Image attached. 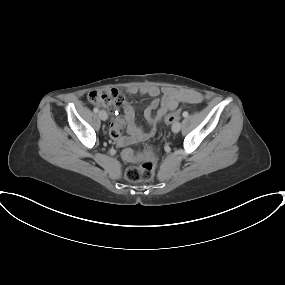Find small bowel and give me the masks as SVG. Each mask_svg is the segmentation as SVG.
Returning <instances> with one entry per match:
<instances>
[{
	"mask_svg": "<svg viewBox=\"0 0 285 285\" xmlns=\"http://www.w3.org/2000/svg\"><path fill=\"white\" fill-rule=\"evenodd\" d=\"M118 92L120 96V103L123 107L124 115L122 117H115L110 127L111 133H119V136L113 138L117 139L121 145H129L135 142L145 141L154 135L156 129L163 117L170 111H174L180 103L184 104H198L202 102L203 97L200 93L190 90H177L172 88H165L163 91L155 85L144 86L141 88L131 87L128 89L129 94H136L140 92L147 95L152 101L146 106L144 110V117L151 126L149 132H145L135 122V108L126 99L125 95ZM162 93V97H159ZM126 128L128 137H120V132Z\"/></svg>",
	"mask_w": 285,
	"mask_h": 285,
	"instance_id": "c3829d8e",
	"label": "small bowel"
}]
</instances>
